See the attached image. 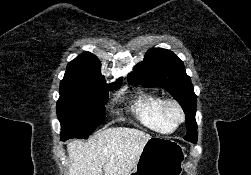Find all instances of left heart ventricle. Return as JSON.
Returning <instances> with one entry per match:
<instances>
[{
  "instance_id": "1",
  "label": "left heart ventricle",
  "mask_w": 251,
  "mask_h": 175,
  "mask_svg": "<svg viewBox=\"0 0 251 175\" xmlns=\"http://www.w3.org/2000/svg\"><path fill=\"white\" fill-rule=\"evenodd\" d=\"M169 114H170V121L168 122L171 126H173L174 124V121L177 119L178 117V112L174 109V108H171L170 111H169Z\"/></svg>"
}]
</instances>
